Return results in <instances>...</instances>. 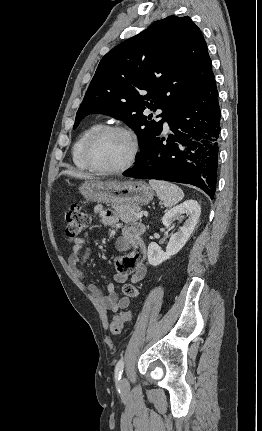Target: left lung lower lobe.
<instances>
[{"label":"left lung lower lobe","mask_w":262,"mask_h":431,"mask_svg":"<svg viewBox=\"0 0 262 431\" xmlns=\"http://www.w3.org/2000/svg\"><path fill=\"white\" fill-rule=\"evenodd\" d=\"M220 107L216 82L168 118L173 134L161 133L124 176L186 183L210 197L216 190Z\"/></svg>","instance_id":"obj_1"}]
</instances>
